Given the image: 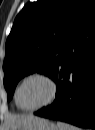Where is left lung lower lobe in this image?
<instances>
[{"instance_id": "left-lung-lower-lobe-1", "label": "left lung lower lobe", "mask_w": 95, "mask_h": 130, "mask_svg": "<svg viewBox=\"0 0 95 130\" xmlns=\"http://www.w3.org/2000/svg\"><path fill=\"white\" fill-rule=\"evenodd\" d=\"M52 79L57 84L55 101L35 114L95 128V13L77 28Z\"/></svg>"}]
</instances>
